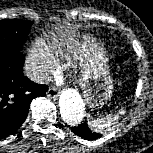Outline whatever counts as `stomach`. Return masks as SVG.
Listing matches in <instances>:
<instances>
[{"label": "stomach", "instance_id": "0dacf381", "mask_svg": "<svg viewBox=\"0 0 153 153\" xmlns=\"http://www.w3.org/2000/svg\"><path fill=\"white\" fill-rule=\"evenodd\" d=\"M79 37V44L83 50L80 86L90 107L102 106L113 93L106 51L92 36L86 34Z\"/></svg>", "mask_w": 153, "mask_h": 153}]
</instances>
